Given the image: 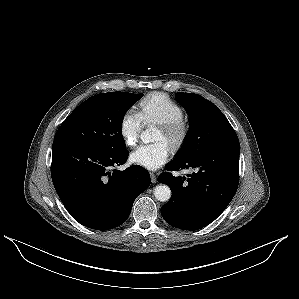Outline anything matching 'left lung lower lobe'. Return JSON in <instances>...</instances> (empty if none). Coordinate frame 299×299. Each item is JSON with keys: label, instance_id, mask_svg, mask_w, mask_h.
<instances>
[{"label": "left lung lower lobe", "instance_id": "1", "mask_svg": "<svg viewBox=\"0 0 299 299\" xmlns=\"http://www.w3.org/2000/svg\"><path fill=\"white\" fill-rule=\"evenodd\" d=\"M238 137L204 151L197 157L174 160L167 171L193 168L188 177H175L164 172L158 182L173 192L161 207L164 220L173 227L198 230L213 222L228 206L239 183Z\"/></svg>", "mask_w": 299, "mask_h": 299}]
</instances>
